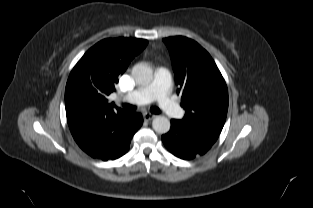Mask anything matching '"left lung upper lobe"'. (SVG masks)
<instances>
[{"mask_svg":"<svg viewBox=\"0 0 313 208\" xmlns=\"http://www.w3.org/2000/svg\"><path fill=\"white\" fill-rule=\"evenodd\" d=\"M175 73L177 93L186 114L182 120L191 129L220 134L228 110V90L209 53L197 42L175 36L164 38Z\"/></svg>","mask_w":313,"mask_h":208,"instance_id":"left-lung-upper-lobe-1","label":"left lung upper lobe"}]
</instances>
